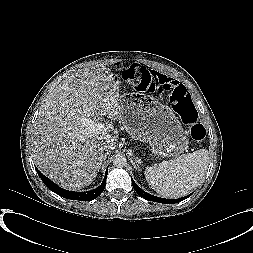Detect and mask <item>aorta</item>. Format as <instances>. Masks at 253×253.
<instances>
[{"mask_svg":"<svg viewBox=\"0 0 253 253\" xmlns=\"http://www.w3.org/2000/svg\"><path fill=\"white\" fill-rule=\"evenodd\" d=\"M126 158L123 156H116L113 159V165L117 168H123L126 165Z\"/></svg>","mask_w":253,"mask_h":253,"instance_id":"762f6f07","label":"aorta"}]
</instances>
